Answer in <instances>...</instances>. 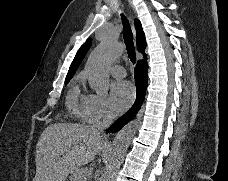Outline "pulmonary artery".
Returning <instances> with one entry per match:
<instances>
[{
	"mask_svg": "<svg viewBox=\"0 0 228 181\" xmlns=\"http://www.w3.org/2000/svg\"><path fill=\"white\" fill-rule=\"evenodd\" d=\"M111 41H115V40H111ZM122 52V51H121ZM113 72L118 75V79H127V74L125 73V69L123 67H114Z\"/></svg>",
	"mask_w": 228,
	"mask_h": 181,
	"instance_id": "pulmonary-artery-1",
	"label": "pulmonary artery"
}]
</instances>
